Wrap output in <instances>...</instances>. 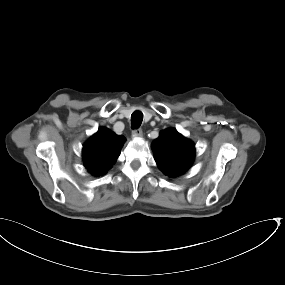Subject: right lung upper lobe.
<instances>
[{
  "label": "right lung upper lobe",
  "mask_w": 285,
  "mask_h": 285,
  "mask_svg": "<svg viewBox=\"0 0 285 285\" xmlns=\"http://www.w3.org/2000/svg\"><path fill=\"white\" fill-rule=\"evenodd\" d=\"M124 142L123 136L99 128L83 146L84 166L95 176L105 174L117 160Z\"/></svg>",
  "instance_id": "obj_1"
}]
</instances>
